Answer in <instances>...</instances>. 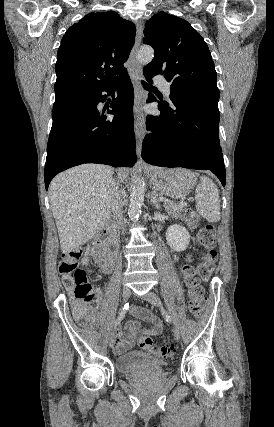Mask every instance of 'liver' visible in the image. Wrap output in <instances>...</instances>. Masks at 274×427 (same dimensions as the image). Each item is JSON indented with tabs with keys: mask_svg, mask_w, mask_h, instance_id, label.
I'll return each instance as SVG.
<instances>
[{
	"mask_svg": "<svg viewBox=\"0 0 274 427\" xmlns=\"http://www.w3.org/2000/svg\"><path fill=\"white\" fill-rule=\"evenodd\" d=\"M123 182L128 170H116ZM113 170L100 164H82L58 174L48 194L63 253L86 243L110 217L117 188Z\"/></svg>",
	"mask_w": 274,
	"mask_h": 427,
	"instance_id": "obj_1",
	"label": "liver"
}]
</instances>
